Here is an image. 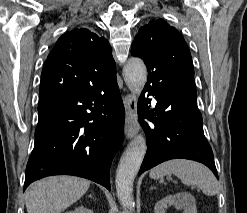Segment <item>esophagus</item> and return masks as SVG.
I'll return each instance as SVG.
<instances>
[{
  "mask_svg": "<svg viewBox=\"0 0 247 213\" xmlns=\"http://www.w3.org/2000/svg\"><path fill=\"white\" fill-rule=\"evenodd\" d=\"M123 102L126 110L125 135L127 138H132L138 131L136 98L134 95L128 94L123 97Z\"/></svg>",
  "mask_w": 247,
  "mask_h": 213,
  "instance_id": "esophagus-1",
  "label": "esophagus"
}]
</instances>
